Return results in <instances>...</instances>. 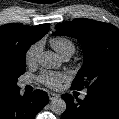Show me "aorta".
Here are the masks:
<instances>
[{
	"label": "aorta",
	"instance_id": "1",
	"mask_svg": "<svg viewBox=\"0 0 119 119\" xmlns=\"http://www.w3.org/2000/svg\"><path fill=\"white\" fill-rule=\"evenodd\" d=\"M42 67L54 69L61 66L60 58L53 52H44L39 58ZM50 109L55 114H62L66 110V103L62 98H54L50 103Z\"/></svg>",
	"mask_w": 119,
	"mask_h": 119
}]
</instances>
